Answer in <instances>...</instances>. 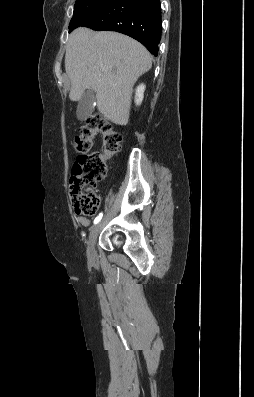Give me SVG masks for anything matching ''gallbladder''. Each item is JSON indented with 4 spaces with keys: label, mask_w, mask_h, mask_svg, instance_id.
Wrapping results in <instances>:
<instances>
[{
    "label": "gallbladder",
    "mask_w": 254,
    "mask_h": 397,
    "mask_svg": "<svg viewBox=\"0 0 254 397\" xmlns=\"http://www.w3.org/2000/svg\"><path fill=\"white\" fill-rule=\"evenodd\" d=\"M96 97L94 93L87 90L81 96L77 106V118L81 121L88 118L94 111Z\"/></svg>",
    "instance_id": "gallbladder-1"
}]
</instances>
